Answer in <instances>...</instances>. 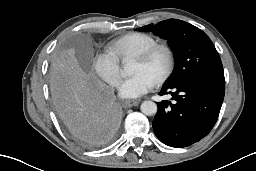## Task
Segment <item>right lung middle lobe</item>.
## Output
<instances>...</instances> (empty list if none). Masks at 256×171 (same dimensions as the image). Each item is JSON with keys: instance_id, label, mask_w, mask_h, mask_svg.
Wrapping results in <instances>:
<instances>
[{"instance_id": "obj_1", "label": "right lung middle lobe", "mask_w": 256, "mask_h": 171, "mask_svg": "<svg viewBox=\"0 0 256 171\" xmlns=\"http://www.w3.org/2000/svg\"><path fill=\"white\" fill-rule=\"evenodd\" d=\"M61 71L63 70L58 68L52 76L51 92L54 102L69 97L75 91L73 78Z\"/></svg>"}]
</instances>
